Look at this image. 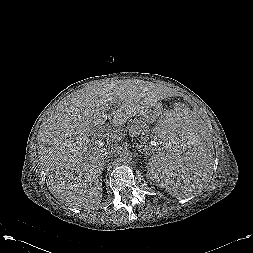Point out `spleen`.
Masks as SVG:
<instances>
[{"label": "spleen", "instance_id": "1", "mask_svg": "<svg viewBox=\"0 0 253 253\" xmlns=\"http://www.w3.org/2000/svg\"><path fill=\"white\" fill-rule=\"evenodd\" d=\"M148 144L153 154L148 170L164 177L173 196L194 195L211 165L208 139L198 119L182 109L163 113L152 124Z\"/></svg>", "mask_w": 253, "mask_h": 253}]
</instances>
